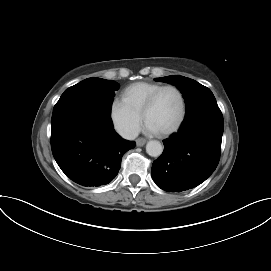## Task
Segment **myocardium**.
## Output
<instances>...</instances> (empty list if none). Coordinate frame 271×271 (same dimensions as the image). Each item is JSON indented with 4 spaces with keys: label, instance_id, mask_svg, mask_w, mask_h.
<instances>
[{
    "label": "myocardium",
    "instance_id": "1",
    "mask_svg": "<svg viewBox=\"0 0 271 271\" xmlns=\"http://www.w3.org/2000/svg\"><path fill=\"white\" fill-rule=\"evenodd\" d=\"M169 89L174 90L179 96V99H180V114H179V117H178L177 121L175 122V124L171 128H169V129H167V130H165L163 132H159V134L162 135V136H168V135H171L174 132H176L179 129V127L181 126V124L183 123V121H184V118H185V115H186V101H185V97H184V94L182 93V91L177 86H174V85L162 86L159 89H157L148 98V100L146 101V103H145V105L143 107V110H142V117L147 122V115L151 111V109L154 107L159 95L163 91L169 90Z\"/></svg>",
    "mask_w": 271,
    "mask_h": 271
}]
</instances>
